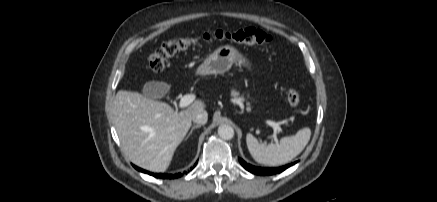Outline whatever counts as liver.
I'll use <instances>...</instances> for the list:
<instances>
[{"mask_svg": "<svg viewBox=\"0 0 437 202\" xmlns=\"http://www.w3.org/2000/svg\"><path fill=\"white\" fill-rule=\"evenodd\" d=\"M204 108V102L197 99L178 112L167 103L119 90L112 111L124 154L141 168L165 171L192 125V115Z\"/></svg>", "mask_w": 437, "mask_h": 202, "instance_id": "obj_1", "label": "liver"}]
</instances>
